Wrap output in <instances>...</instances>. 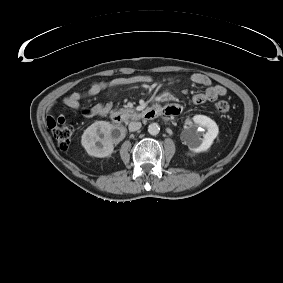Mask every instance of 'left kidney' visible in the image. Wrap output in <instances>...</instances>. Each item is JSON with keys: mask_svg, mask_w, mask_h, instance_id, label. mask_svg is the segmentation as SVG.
<instances>
[{"mask_svg": "<svg viewBox=\"0 0 283 283\" xmlns=\"http://www.w3.org/2000/svg\"><path fill=\"white\" fill-rule=\"evenodd\" d=\"M206 132L204 133V129ZM219 128L215 121L205 115H195L193 123L186 129L187 137L185 143L193 152L207 151L217 137Z\"/></svg>", "mask_w": 283, "mask_h": 283, "instance_id": "1", "label": "left kidney"}]
</instances>
